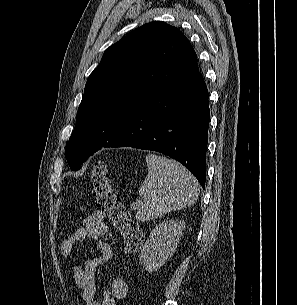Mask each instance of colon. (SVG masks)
Returning <instances> with one entry per match:
<instances>
[{
	"instance_id": "obj_1",
	"label": "colon",
	"mask_w": 297,
	"mask_h": 305,
	"mask_svg": "<svg viewBox=\"0 0 297 305\" xmlns=\"http://www.w3.org/2000/svg\"><path fill=\"white\" fill-rule=\"evenodd\" d=\"M92 178L96 204L105 212L116 231L119 232L125 250L128 252L139 250L143 242L142 232L114 189L105 162L100 161L95 164Z\"/></svg>"
}]
</instances>
